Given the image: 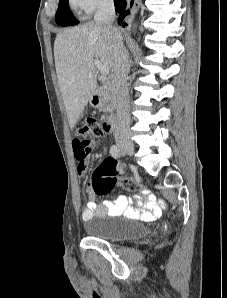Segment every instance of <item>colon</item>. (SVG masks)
Wrapping results in <instances>:
<instances>
[{"instance_id":"5ec220e1","label":"colon","mask_w":227,"mask_h":298,"mask_svg":"<svg viewBox=\"0 0 227 298\" xmlns=\"http://www.w3.org/2000/svg\"><path fill=\"white\" fill-rule=\"evenodd\" d=\"M103 135V128L96 119H88L79 129L74 139H81V142H92L93 139ZM91 152V151H90ZM75 153V151H74ZM84 159V158H78ZM118 164L114 159L103 161L94 171L92 176V190L97 195H107L116 186H122L130 191H139L142 186L128 178L118 177Z\"/></svg>"}]
</instances>
